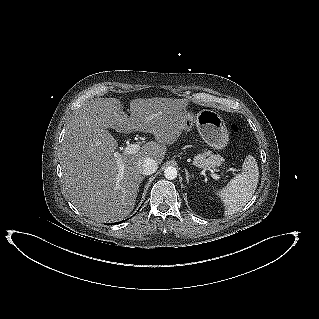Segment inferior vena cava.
Wrapping results in <instances>:
<instances>
[{
    "label": "inferior vena cava",
    "mask_w": 319,
    "mask_h": 319,
    "mask_svg": "<svg viewBox=\"0 0 319 319\" xmlns=\"http://www.w3.org/2000/svg\"><path fill=\"white\" fill-rule=\"evenodd\" d=\"M157 168V162L150 157L144 158L139 162V170L143 175H151L156 172Z\"/></svg>",
    "instance_id": "obj_1"
}]
</instances>
